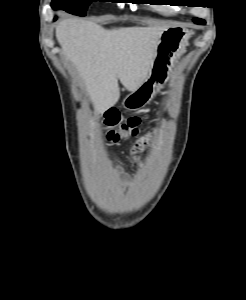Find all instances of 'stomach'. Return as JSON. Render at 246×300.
<instances>
[{"instance_id": "obj_1", "label": "stomach", "mask_w": 246, "mask_h": 300, "mask_svg": "<svg viewBox=\"0 0 246 300\" xmlns=\"http://www.w3.org/2000/svg\"><path fill=\"white\" fill-rule=\"evenodd\" d=\"M190 32L185 28L170 27L160 36L152 70L146 81L127 95L122 104L128 110L143 108L152 98L155 88L165 84L175 59L184 51Z\"/></svg>"}]
</instances>
